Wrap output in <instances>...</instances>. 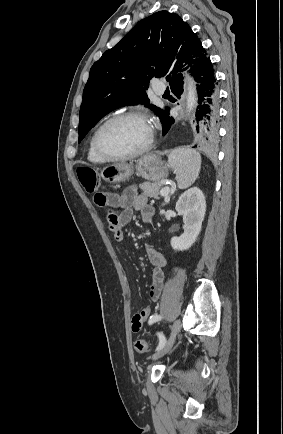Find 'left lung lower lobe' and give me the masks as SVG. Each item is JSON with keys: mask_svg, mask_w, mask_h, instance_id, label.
<instances>
[{"mask_svg": "<svg viewBox=\"0 0 283 434\" xmlns=\"http://www.w3.org/2000/svg\"><path fill=\"white\" fill-rule=\"evenodd\" d=\"M192 75L197 82L198 93V106L193 121L195 146L212 149L218 142L219 92L210 58L197 66ZM171 91L180 98L183 92V82L173 85ZM173 123L172 117L165 118L163 135L168 132Z\"/></svg>", "mask_w": 283, "mask_h": 434, "instance_id": "0a47b994", "label": "left lung lower lobe"}]
</instances>
